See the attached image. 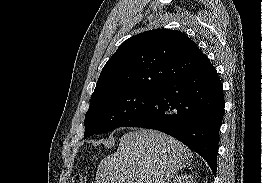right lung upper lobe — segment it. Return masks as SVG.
<instances>
[{"mask_svg":"<svg viewBox=\"0 0 262 183\" xmlns=\"http://www.w3.org/2000/svg\"><path fill=\"white\" fill-rule=\"evenodd\" d=\"M208 62L195 42L181 31L143 32L123 42L108 60L92 98L124 89H158Z\"/></svg>","mask_w":262,"mask_h":183,"instance_id":"cb5924a9","label":"right lung upper lobe"}]
</instances>
